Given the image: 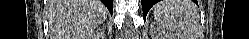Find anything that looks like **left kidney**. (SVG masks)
I'll list each match as a JSON object with an SVG mask.
<instances>
[{
	"instance_id": "1",
	"label": "left kidney",
	"mask_w": 249,
	"mask_h": 39,
	"mask_svg": "<svg viewBox=\"0 0 249 39\" xmlns=\"http://www.w3.org/2000/svg\"><path fill=\"white\" fill-rule=\"evenodd\" d=\"M173 36L168 33L161 34V36L158 39H172Z\"/></svg>"
}]
</instances>
